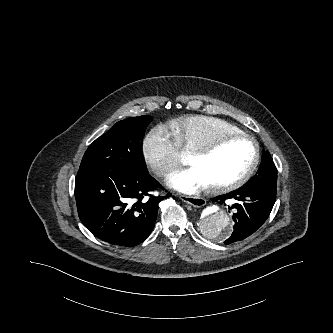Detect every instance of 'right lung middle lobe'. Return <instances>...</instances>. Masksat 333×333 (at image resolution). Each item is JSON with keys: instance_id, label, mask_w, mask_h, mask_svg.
<instances>
[{"instance_id": "1", "label": "right lung middle lobe", "mask_w": 333, "mask_h": 333, "mask_svg": "<svg viewBox=\"0 0 333 333\" xmlns=\"http://www.w3.org/2000/svg\"><path fill=\"white\" fill-rule=\"evenodd\" d=\"M151 116H138L117 122L107 133L90 144L79 171L118 170L148 172L142 155V140Z\"/></svg>"}]
</instances>
